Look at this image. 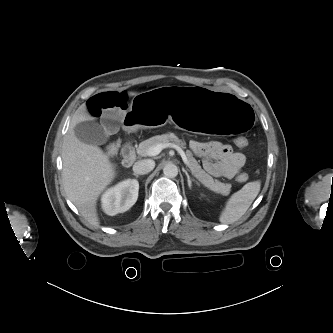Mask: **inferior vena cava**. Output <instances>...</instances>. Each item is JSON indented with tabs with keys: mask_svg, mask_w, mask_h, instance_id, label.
Returning <instances> with one entry per match:
<instances>
[{
	"mask_svg": "<svg viewBox=\"0 0 333 333\" xmlns=\"http://www.w3.org/2000/svg\"><path fill=\"white\" fill-rule=\"evenodd\" d=\"M154 167H155L154 160L144 159L141 161H137L133 165V171L136 174L144 175V174H148L149 172H151L154 169Z\"/></svg>",
	"mask_w": 333,
	"mask_h": 333,
	"instance_id": "1",
	"label": "inferior vena cava"
}]
</instances>
